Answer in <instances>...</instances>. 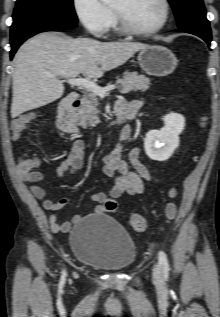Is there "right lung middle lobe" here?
<instances>
[{
    "label": "right lung middle lobe",
    "mask_w": 220,
    "mask_h": 317,
    "mask_svg": "<svg viewBox=\"0 0 220 317\" xmlns=\"http://www.w3.org/2000/svg\"><path fill=\"white\" fill-rule=\"evenodd\" d=\"M45 18L77 23L73 0H17L11 30L28 21Z\"/></svg>",
    "instance_id": "obj_1"
}]
</instances>
